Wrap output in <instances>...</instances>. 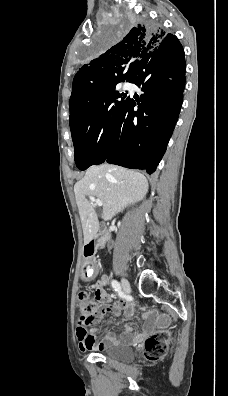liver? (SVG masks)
<instances>
[{"instance_id": "6515ba94", "label": "liver", "mask_w": 228, "mask_h": 396, "mask_svg": "<svg viewBox=\"0 0 228 396\" xmlns=\"http://www.w3.org/2000/svg\"><path fill=\"white\" fill-rule=\"evenodd\" d=\"M147 191L148 181L139 172L110 164L90 167L74 186L84 243L94 239L99 230L96 212L86 196L102 201L103 219L109 221L128 205L142 200Z\"/></svg>"}]
</instances>
